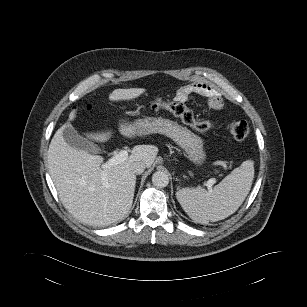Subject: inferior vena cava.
I'll use <instances>...</instances> for the list:
<instances>
[{
  "label": "inferior vena cava",
  "instance_id": "obj_1",
  "mask_svg": "<svg viewBox=\"0 0 307 307\" xmlns=\"http://www.w3.org/2000/svg\"><path fill=\"white\" fill-rule=\"evenodd\" d=\"M146 168L145 163L141 161L134 162L131 165V170L133 171L134 174H141Z\"/></svg>",
  "mask_w": 307,
  "mask_h": 307
}]
</instances>
